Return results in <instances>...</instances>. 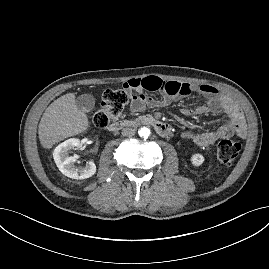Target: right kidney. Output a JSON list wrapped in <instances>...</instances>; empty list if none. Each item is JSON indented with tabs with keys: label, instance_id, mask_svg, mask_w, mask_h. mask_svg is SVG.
Segmentation results:
<instances>
[{
	"label": "right kidney",
	"instance_id": "1",
	"mask_svg": "<svg viewBox=\"0 0 269 269\" xmlns=\"http://www.w3.org/2000/svg\"><path fill=\"white\" fill-rule=\"evenodd\" d=\"M84 142L77 138H71L58 145L53 153L54 161L59 170L67 177L73 179H86L96 172V165L90 161L84 167H76L75 156H69V151L76 147H81Z\"/></svg>",
	"mask_w": 269,
	"mask_h": 269
}]
</instances>
